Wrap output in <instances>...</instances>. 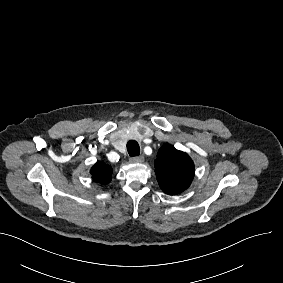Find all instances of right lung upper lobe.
Segmentation results:
<instances>
[{"label": "right lung upper lobe", "instance_id": "obj_1", "mask_svg": "<svg viewBox=\"0 0 283 283\" xmlns=\"http://www.w3.org/2000/svg\"><path fill=\"white\" fill-rule=\"evenodd\" d=\"M92 179L102 185L107 184L111 181L112 168L106 165L102 161H98L90 170Z\"/></svg>", "mask_w": 283, "mask_h": 283}]
</instances>
